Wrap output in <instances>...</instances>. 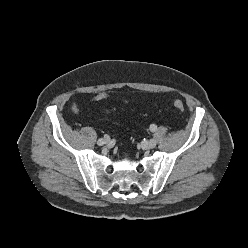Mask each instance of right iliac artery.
<instances>
[{
    "mask_svg": "<svg viewBox=\"0 0 248 248\" xmlns=\"http://www.w3.org/2000/svg\"><path fill=\"white\" fill-rule=\"evenodd\" d=\"M103 141L101 140V139H97L96 141H95V144H96V146H101L103 143H102Z\"/></svg>",
    "mask_w": 248,
    "mask_h": 248,
    "instance_id": "right-iliac-artery-1",
    "label": "right iliac artery"
}]
</instances>
